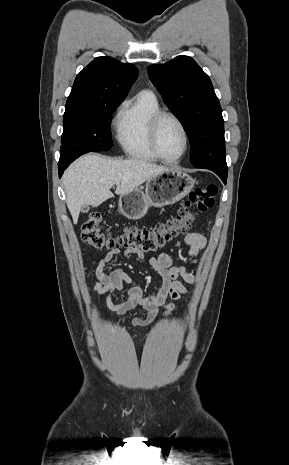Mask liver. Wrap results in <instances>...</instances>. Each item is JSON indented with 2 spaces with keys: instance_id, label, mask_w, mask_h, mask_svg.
I'll return each instance as SVG.
<instances>
[{
  "instance_id": "liver-1",
  "label": "liver",
  "mask_w": 289,
  "mask_h": 465,
  "mask_svg": "<svg viewBox=\"0 0 289 465\" xmlns=\"http://www.w3.org/2000/svg\"><path fill=\"white\" fill-rule=\"evenodd\" d=\"M169 169L140 159L114 160L97 154L78 158L63 174L66 203L74 224L83 205L97 207L112 198L113 185H117L115 193L123 195Z\"/></svg>"
}]
</instances>
